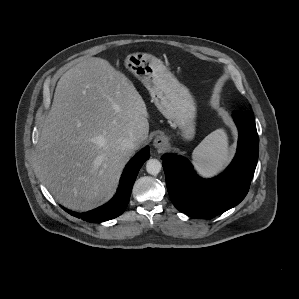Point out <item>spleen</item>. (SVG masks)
<instances>
[{
    "instance_id": "spleen-1",
    "label": "spleen",
    "mask_w": 299,
    "mask_h": 299,
    "mask_svg": "<svg viewBox=\"0 0 299 299\" xmlns=\"http://www.w3.org/2000/svg\"><path fill=\"white\" fill-rule=\"evenodd\" d=\"M192 157L204 173L210 174L220 169L230 158L225 131L217 129L209 134L195 148Z\"/></svg>"
}]
</instances>
